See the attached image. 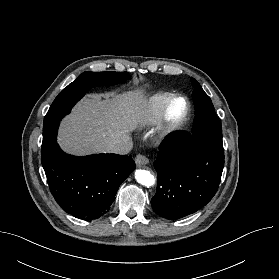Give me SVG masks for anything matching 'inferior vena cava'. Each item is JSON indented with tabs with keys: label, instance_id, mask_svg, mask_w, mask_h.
I'll use <instances>...</instances> for the list:
<instances>
[{
	"label": "inferior vena cava",
	"instance_id": "1",
	"mask_svg": "<svg viewBox=\"0 0 279 279\" xmlns=\"http://www.w3.org/2000/svg\"><path fill=\"white\" fill-rule=\"evenodd\" d=\"M132 147H133L132 140L130 138H126L124 140L108 144L105 148V151L107 153L124 155L129 153Z\"/></svg>",
	"mask_w": 279,
	"mask_h": 279
}]
</instances>
